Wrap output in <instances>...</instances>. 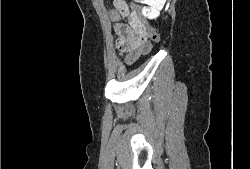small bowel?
I'll return each mask as SVG.
<instances>
[{"label":"small bowel","mask_w":250,"mask_h":169,"mask_svg":"<svg viewBox=\"0 0 250 169\" xmlns=\"http://www.w3.org/2000/svg\"><path fill=\"white\" fill-rule=\"evenodd\" d=\"M121 15L127 16V13L122 12L117 7L111 13L112 19L115 21L119 20ZM127 18L131 28H124L123 32L119 31L121 39L119 40L118 46L125 54L126 61L128 63H133L149 49V45L147 44V41L144 43L139 41L137 37L139 27L136 20L131 16H127Z\"/></svg>","instance_id":"c3829d8e"}]
</instances>
